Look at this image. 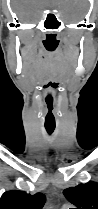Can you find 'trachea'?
Wrapping results in <instances>:
<instances>
[{
  "instance_id": "1",
  "label": "trachea",
  "mask_w": 98,
  "mask_h": 209,
  "mask_svg": "<svg viewBox=\"0 0 98 209\" xmlns=\"http://www.w3.org/2000/svg\"><path fill=\"white\" fill-rule=\"evenodd\" d=\"M46 128V131L48 132V134H52L55 127H45Z\"/></svg>"
}]
</instances>
